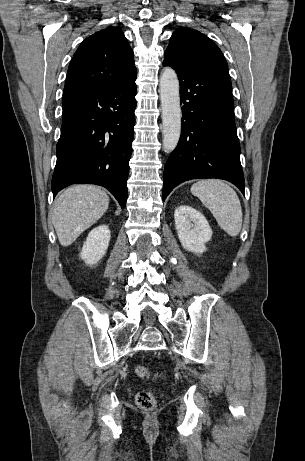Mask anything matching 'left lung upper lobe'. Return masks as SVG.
Returning a JSON list of instances; mask_svg holds the SVG:
<instances>
[{
  "mask_svg": "<svg viewBox=\"0 0 305 461\" xmlns=\"http://www.w3.org/2000/svg\"><path fill=\"white\" fill-rule=\"evenodd\" d=\"M164 61L188 70H228L227 62L217 45L199 31L185 27H180L173 33Z\"/></svg>",
  "mask_w": 305,
  "mask_h": 461,
  "instance_id": "obj_1",
  "label": "left lung upper lobe"
}]
</instances>
